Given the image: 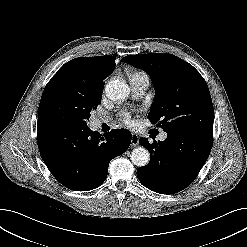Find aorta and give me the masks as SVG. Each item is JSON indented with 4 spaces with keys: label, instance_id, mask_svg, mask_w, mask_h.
Segmentation results:
<instances>
[{
    "label": "aorta",
    "instance_id": "obj_1",
    "mask_svg": "<svg viewBox=\"0 0 247 247\" xmlns=\"http://www.w3.org/2000/svg\"><path fill=\"white\" fill-rule=\"evenodd\" d=\"M129 87L125 81L121 79L110 80L106 87V96L112 101H122L129 95ZM131 161L138 167L146 166L150 160V154L144 147H138L131 152Z\"/></svg>",
    "mask_w": 247,
    "mask_h": 247
}]
</instances>
